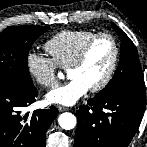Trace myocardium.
<instances>
[{
    "instance_id": "myocardium-1",
    "label": "myocardium",
    "mask_w": 147,
    "mask_h": 147,
    "mask_svg": "<svg viewBox=\"0 0 147 147\" xmlns=\"http://www.w3.org/2000/svg\"><path fill=\"white\" fill-rule=\"evenodd\" d=\"M101 38H108L112 42L113 51H114L113 59L106 75L98 84L90 88L91 92H99L105 89L112 81L115 75L120 59V47L116 37L109 32L96 33L83 45L75 60L67 68V72H68L69 70L76 69L82 66L94 43Z\"/></svg>"
}]
</instances>
